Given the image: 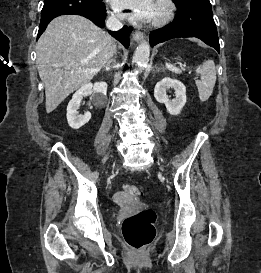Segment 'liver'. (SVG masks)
<instances>
[{
    "label": "liver",
    "mask_w": 261,
    "mask_h": 273,
    "mask_svg": "<svg viewBox=\"0 0 261 273\" xmlns=\"http://www.w3.org/2000/svg\"><path fill=\"white\" fill-rule=\"evenodd\" d=\"M114 42L90 20L64 15L52 20L36 45L46 111L89 83L113 55Z\"/></svg>",
    "instance_id": "obj_1"
}]
</instances>
